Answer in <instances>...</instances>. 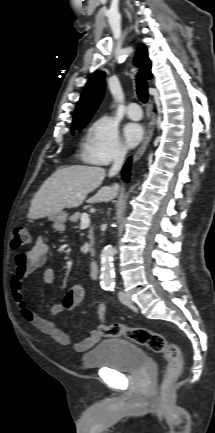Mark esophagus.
Masks as SVG:
<instances>
[{"mask_svg": "<svg viewBox=\"0 0 215 433\" xmlns=\"http://www.w3.org/2000/svg\"><path fill=\"white\" fill-rule=\"evenodd\" d=\"M153 133H154V115H153L152 120L149 124L148 130L146 132L145 138H144L141 146L137 149V151L135 152V154L133 156L134 162L138 161L141 158V156L144 154L145 150L147 149V147H148V145L152 139Z\"/></svg>", "mask_w": 215, "mask_h": 433, "instance_id": "34e87169", "label": "esophagus"}]
</instances>
